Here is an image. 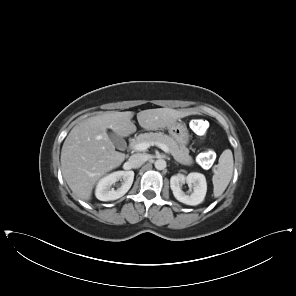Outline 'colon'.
Masks as SVG:
<instances>
[{
	"label": "colon",
	"instance_id": "5ec220e1",
	"mask_svg": "<svg viewBox=\"0 0 296 296\" xmlns=\"http://www.w3.org/2000/svg\"><path fill=\"white\" fill-rule=\"evenodd\" d=\"M190 128L200 138L204 137L205 133L207 131V125H206L205 121L200 120V119L191 120ZM199 159L202 164H208L209 161L211 160V152L206 151V152L202 153L200 155Z\"/></svg>",
	"mask_w": 296,
	"mask_h": 296
}]
</instances>
